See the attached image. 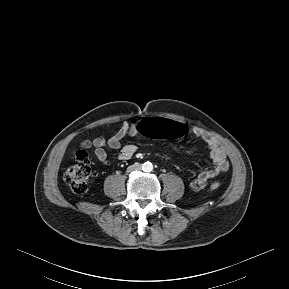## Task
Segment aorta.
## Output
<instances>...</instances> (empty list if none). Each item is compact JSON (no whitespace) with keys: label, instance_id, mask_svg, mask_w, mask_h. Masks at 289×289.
Wrapping results in <instances>:
<instances>
[{"label":"aorta","instance_id":"obj_1","mask_svg":"<svg viewBox=\"0 0 289 289\" xmlns=\"http://www.w3.org/2000/svg\"><path fill=\"white\" fill-rule=\"evenodd\" d=\"M142 169L143 171L145 172H151L153 170V164L151 162H145L143 165H142Z\"/></svg>","mask_w":289,"mask_h":289}]
</instances>
